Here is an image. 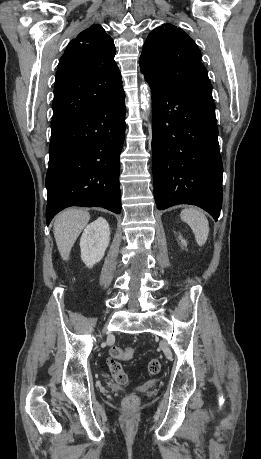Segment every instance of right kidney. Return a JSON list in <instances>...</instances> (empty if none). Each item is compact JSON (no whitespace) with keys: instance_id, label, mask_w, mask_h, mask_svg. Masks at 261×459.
I'll return each instance as SVG.
<instances>
[{"instance_id":"obj_1","label":"right kidney","mask_w":261,"mask_h":459,"mask_svg":"<svg viewBox=\"0 0 261 459\" xmlns=\"http://www.w3.org/2000/svg\"><path fill=\"white\" fill-rule=\"evenodd\" d=\"M110 242V228L105 218L99 217L90 223L80 239L81 259L92 268L104 257Z\"/></svg>"}]
</instances>
